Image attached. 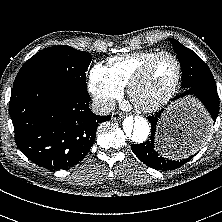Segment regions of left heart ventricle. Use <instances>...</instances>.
<instances>
[{"label":"left heart ventricle","mask_w":222,"mask_h":222,"mask_svg":"<svg viewBox=\"0 0 222 222\" xmlns=\"http://www.w3.org/2000/svg\"><path fill=\"white\" fill-rule=\"evenodd\" d=\"M177 72L175 61L168 57L158 59L137 90V97L143 103L158 99L173 83Z\"/></svg>","instance_id":"1"}]
</instances>
